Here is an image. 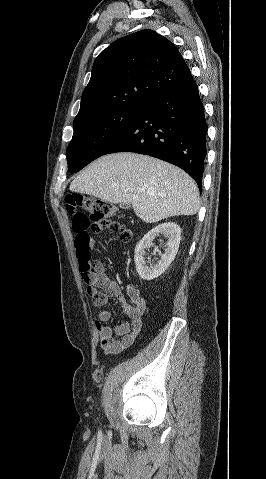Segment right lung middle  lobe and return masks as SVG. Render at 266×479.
<instances>
[{
  "instance_id": "1",
  "label": "right lung middle lobe",
  "mask_w": 266,
  "mask_h": 479,
  "mask_svg": "<svg viewBox=\"0 0 266 479\" xmlns=\"http://www.w3.org/2000/svg\"><path fill=\"white\" fill-rule=\"evenodd\" d=\"M143 108H120L74 120L67 148L71 173L102 156L109 145L140 115Z\"/></svg>"
}]
</instances>
